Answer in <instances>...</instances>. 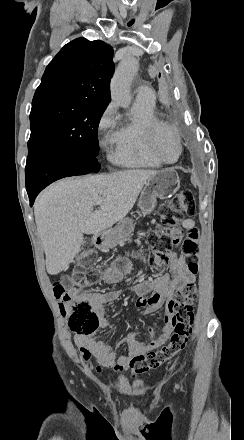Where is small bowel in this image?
Here are the masks:
<instances>
[{
	"label": "small bowel",
	"mask_w": 244,
	"mask_h": 440,
	"mask_svg": "<svg viewBox=\"0 0 244 440\" xmlns=\"http://www.w3.org/2000/svg\"><path fill=\"white\" fill-rule=\"evenodd\" d=\"M182 227L189 230L195 227L192 219H185ZM169 273L159 276L153 280L142 281L132 287L133 293L138 297L137 305L145 308L147 315L156 313L162 307L165 308L163 317L164 325L160 332L155 334L151 326L140 328L150 335L147 342H137L136 332L127 338L125 345L128 348L126 354H118L120 344L111 345L106 340L98 339L94 336L76 335L75 344L80 352L81 358L85 362H90L94 358L98 366L97 371L104 369L114 373H123L130 368L133 353H147L163 345L172 332V302L176 291L188 284H194L196 272L191 271L183 254L170 251L168 253ZM132 270V263L125 257H118L111 266L107 267L100 279L107 284H117ZM120 290H110L104 292H85L80 286H74L69 294L76 300L87 301L92 305L93 310L99 316V326L107 328L110 326L105 316V304L116 301L121 296Z\"/></svg>",
	"instance_id": "1"
}]
</instances>
